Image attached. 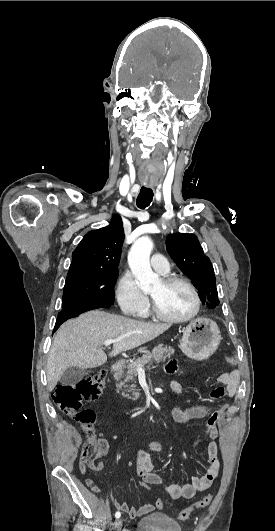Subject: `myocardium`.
Segmentation results:
<instances>
[{"label": "myocardium", "mask_w": 275, "mask_h": 531, "mask_svg": "<svg viewBox=\"0 0 275 531\" xmlns=\"http://www.w3.org/2000/svg\"><path fill=\"white\" fill-rule=\"evenodd\" d=\"M162 282L165 283V284H172V283H182V284H184L190 290V292H191V294L193 296L194 308L186 316L179 317V318L170 317V316H167V315L163 314L159 310L154 297L151 296L153 313L155 314V316L158 319H160L161 321L170 323V324H181V323L189 322L190 320H192L194 317H196L198 315V313L200 311V308H201V299H200V296H199V293H198L196 287L194 286V284L188 278H186L184 276H180V275H166V276H164L162 278Z\"/></svg>", "instance_id": "obj_1"}]
</instances>
